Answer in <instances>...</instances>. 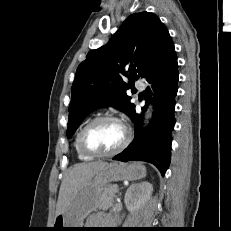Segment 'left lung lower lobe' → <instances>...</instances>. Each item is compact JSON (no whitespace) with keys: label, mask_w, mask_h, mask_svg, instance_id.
Listing matches in <instances>:
<instances>
[{"label":"left lung lower lobe","mask_w":231,"mask_h":231,"mask_svg":"<svg viewBox=\"0 0 231 231\" xmlns=\"http://www.w3.org/2000/svg\"><path fill=\"white\" fill-rule=\"evenodd\" d=\"M178 76L176 52L172 38L168 35L143 75L148 83H155L152 86L156 93L152 120L147 130L140 132L142 117L134 110L130 117L135 125L134 141L123 152L113 157V160L150 162L165 174L170 163ZM148 92L151 93L149 87L145 93L150 97Z\"/></svg>","instance_id":"1"}]
</instances>
